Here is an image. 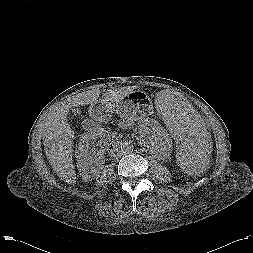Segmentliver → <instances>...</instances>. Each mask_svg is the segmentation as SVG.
Listing matches in <instances>:
<instances>
[{
	"label": "liver",
	"mask_w": 253,
	"mask_h": 253,
	"mask_svg": "<svg viewBox=\"0 0 253 253\" xmlns=\"http://www.w3.org/2000/svg\"><path fill=\"white\" fill-rule=\"evenodd\" d=\"M139 86H124L115 88L103 93L98 101L100 90L92 89L62 102L47 117L43 124V144L45 146L46 157L61 180L68 184L76 183V172L73 165V138L74 131L67 120V114L72 107H80L88 104L112 103L124 98L129 93L138 89ZM164 91L159 92L158 94Z\"/></svg>",
	"instance_id": "liver-1"
}]
</instances>
